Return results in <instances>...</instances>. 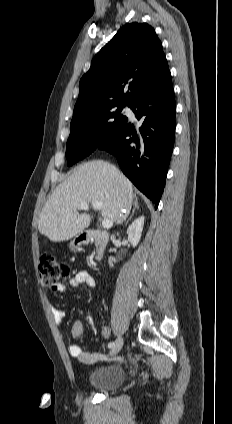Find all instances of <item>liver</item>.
Returning <instances> with one entry per match:
<instances>
[{
	"label": "liver",
	"mask_w": 232,
	"mask_h": 424,
	"mask_svg": "<svg viewBox=\"0 0 232 424\" xmlns=\"http://www.w3.org/2000/svg\"><path fill=\"white\" fill-rule=\"evenodd\" d=\"M133 199L132 184L106 161H89L76 167L44 204L38 219L39 232L51 241H66L82 233L93 216L77 210L81 203H103L104 219L116 222Z\"/></svg>",
	"instance_id": "1"
}]
</instances>
